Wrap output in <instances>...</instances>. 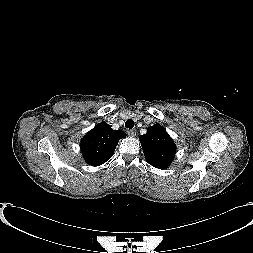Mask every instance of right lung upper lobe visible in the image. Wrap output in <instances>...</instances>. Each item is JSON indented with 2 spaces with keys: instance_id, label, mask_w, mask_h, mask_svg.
<instances>
[{
  "instance_id": "obj_1",
  "label": "right lung upper lobe",
  "mask_w": 253,
  "mask_h": 253,
  "mask_svg": "<svg viewBox=\"0 0 253 253\" xmlns=\"http://www.w3.org/2000/svg\"><path fill=\"white\" fill-rule=\"evenodd\" d=\"M126 133L113 130L106 122L97 124L81 141V151L85 161L91 166H99L108 161L121 138Z\"/></svg>"
}]
</instances>
